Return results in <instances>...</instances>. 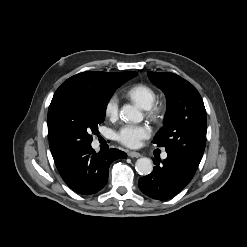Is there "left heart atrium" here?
<instances>
[{
	"label": "left heart atrium",
	"mask_w": 247,
	"mask_h": 247,
	"mask_svg": "<svg viewBox=\"0 0 247 247\" xmlns=\"http://www.w3.org/2000/svg\"><path fill=\"white\" fill-rule=\"evenodd\" d=\"M150 130L144 125L126 124L117 132V139L123 145L136 148L143 139L148 138Z\"/></svg>",
	"instance_id": "left-heart-atrium-1"
}]
</instances>
